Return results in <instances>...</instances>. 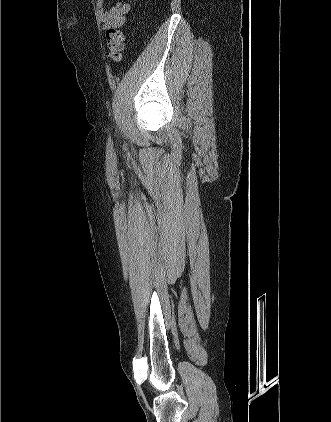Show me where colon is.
Returning a JSON list of instances; mask_svg holds the SVG:
<instances>
[{"instance_id": "colon-1", "label": "colon", "mask_w": 331, "mask_h": 422, "mask_svg": "<svg viewBox=\"0 0 331 422\" xmlns=\"http://www.w3.org/2000/svg\"><path fill=\"white\" fill-rule=\"evenodd\" d=\"M106 44L109 57L114 61H119L124 49L123 32L116 28H109L106 32Z\"/></svg>"}]
</instances>
